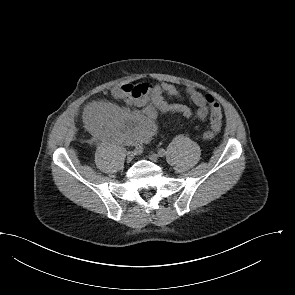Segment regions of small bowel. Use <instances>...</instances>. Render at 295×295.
Returning <instances> with one entry per match:
<instances>
[{"label":"small bowel","instance_id":"1","mask_svg":"<svg viewBox=\"0 0 295 295\" xmlns=\"http://www.w3.org/2000/svg\"><path fill=\"white\" fill-rule=\"evenodd\" d=\"M186 92L197 107V117L200 120L207 119L209 103L206 95L193 87H188ZM111 93L115 98L122 99L139 110L131 112L108 102H93L85 108L84 120L98 135L118 143H141L152 137L156 130L154 119L157 111L178 113L186 118L192 115L188 106L166 101L165 96H180L177 88L167 82L156 85L127 83L115 86ZM210 123L209 132L215 136L221 130L222 119L219 122L210 119Z\"/></svg>","mask_w":295,"mask_h":295}]
</instances>
